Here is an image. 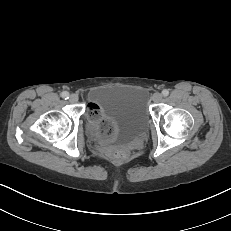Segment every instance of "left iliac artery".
<instances>
[{"label": "left iliac artery", "mask_w": 231, "mask_h": 231, "mask_svg": "<svg viewBox=\"0 0 231 231\" xmlns=\"http://www.w3.org/2000/svg\"><path fill=\"white\" fill-rule=\"evenodd\" d=\"M162 95H163L164 97L168 96V95H169V90L164 89V90L162 91Z\"/></svg>", "instance_id": "1"}]
</instances>
